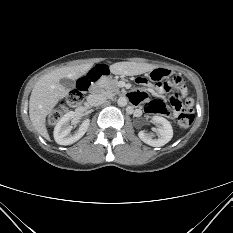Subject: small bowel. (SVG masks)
Returning <instances> with one entry per match:
<instances>
[{
	"label": "small bowel",
	"mask_w": 233,
	"mask_h": 233,
	"mask_svg": "<svg viewBox=\"0 0 233 233\" xmlns=\"http://www.w3.org/2000/svg\"><path fill=\"white\" fill-rule=\"evenodd\" d=\"M173 87H175L176 89H178V91L180 92L182 98H184L187 94V89H186V85L185 83L184 84H180V85H174ZM149 90V88H145L141 91H136L134 93L131 94V99L133 102L135 103H138L140 101H142L143 99L146 98L147 96V91ZM167 90V88L163 87V86H160L157 88V91L159 93H164L165 91ZM145 110L148 112V113H152L151 110L149 109L148 107V104L147 106L145 107ZM141 113V111L139 109H136L135 110V114L136 115H139Z\"/></svg>",
	"instance_id": "small-bowel-1"
}]
</instances>
